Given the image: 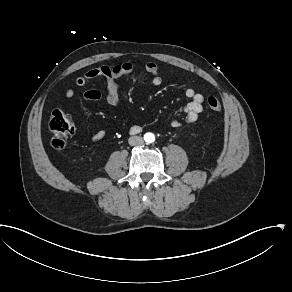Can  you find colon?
Wrapping results in <instances>:
<instances>
[{"mask_svg":"<svg viewBox=\"0 0 292 292\" xmlns=\"http://www.w3.org/2000/svg\"><path fill=\"white\" fill-rule=\"evenodd\" d=\"M206 107L216 113L221 110V104L214 96H209L207 98ZM49 127L51 132L52 148L57 151L62 150L66 146L68 139L74 130L68 114L61 108H55L51 112Z\"/></svg>","mask_w":292,"mask_h":292,"instance_id":"colon-1","label":"colon"}]
</instances>
